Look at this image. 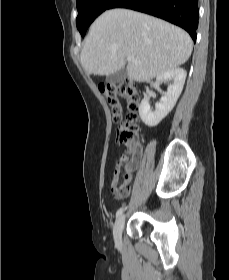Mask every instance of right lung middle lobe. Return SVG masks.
Returning <instances> with one entry per match:
<instances>
[{
  "instance_id": "right-lung-middle-lobe-1",
  "label": "right lung middle lobe",
  "mask_w": 229,
  "mask_h": 280,
  "mask_svg": "<svg viewBox=\"0 0 229 280\" xmlns=\"http://www.w3.org/2000/svg\"><path fill=\"white\" fill-rule=\"evenodd\" d=\"M115 0H77L78 16L76 25L82 37L87 28L103 11L109 8Z\"/></svg>"
}]
</instances>
